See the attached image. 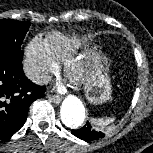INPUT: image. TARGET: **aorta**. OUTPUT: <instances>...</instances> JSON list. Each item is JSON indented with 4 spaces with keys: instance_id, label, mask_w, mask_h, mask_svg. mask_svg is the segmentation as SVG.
<instances>
[{
    "instance_id": "obj_1",
    "label": "aorta",
    "mask_w": 153,
    "mask_h": 153,
    "mask_svg": "<svg viewBox=\"0 0 153 153\" xmlns=\"http://www.w3.org/2000/svg\"><path fill=\"white\" fill-rule=\"evenodd\" d=\"M60 116L65 126L69 128H78L85 121V107L77 97L69 95L61 104Z\"/></svg>"
}]
</instances>
